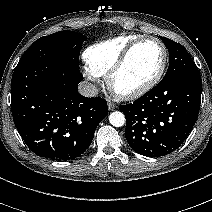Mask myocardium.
<instances>
[{"instance_id":"obj_1","label":"myocardium","mask_w":212,"mask_h":212,"mask_svg":"<svg viewBox=\"0 0 212 212\" xmlns=\"http://www.w3.org/2000/svg\"><path fill=\"white\" fill-rule=\"evenodd\" d=\"M144 42H154L157 45H159L162 50L163 57H162V62H161V65H160L158 71L149 81H147L145 84L141 85L140 87H138L136 89H133L130 91L118 90L117 87L115 86V78L117 77V75L121 72V70L126 65L128 59L131 56L134 49L138 45H140ZM167 63H168V50H167L165 44L161 40H159L155 37H139L136 40H134L133 42H131L125 48V50L119 56V58L117 59L115 64L109 70V72L107 74L108 87L115 95H117L120 98L128 99V100L139 98V97L143 96L144 94H146L147 92H149L151 89H153L160 82V80L163 77L164 72L166 70Z\"/></svg>"}]
</instances>
